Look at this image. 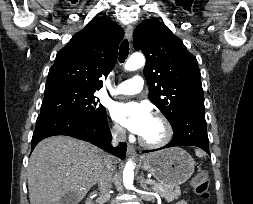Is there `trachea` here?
<instances>
[{
    "label": "trachea",
    "instance_id": "trachea-1",
    "mask_svg": "<svg viewBox=\"0 0 253 204\" xmlns=\"http://www.w3.org/2000/svg\"><path fill=\"white\" fill-rule=\"evenodd\" d=\"M129 54V43L128 40H123L119 49V61L123 63Z\"/></svg>",
    "mask_w": 253,
    "mask_h": 204
}]
</instances>
